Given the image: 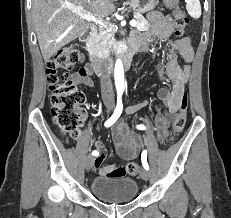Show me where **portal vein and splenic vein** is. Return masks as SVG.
Masks as SVG:
<instances>
[{"mask_svg":"<svg viewBox=\"0 0 231 218\" xmlns=\"http://www.w3.org/2000/svg\"><path fill=\"white\" fill-rule=\"evenodd\" d=\"M72 12H75L77 14H79L83 19L85 20H90L93 21L95 23L104 25L103 20L101 17H99L96 14L93 13H86L84 11V7L81 5H77V6H70V8ZM137 25V21L136 20H132L130 21V26L135 27Z\"/></svg>","mask_w":231,"mask_h":218,"instance_id":"18ae733b","label":"portal vein and splenic vein"}]
</instances>
